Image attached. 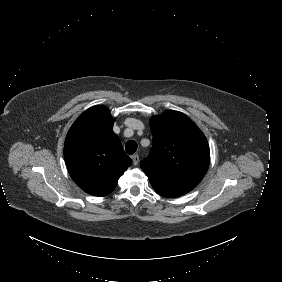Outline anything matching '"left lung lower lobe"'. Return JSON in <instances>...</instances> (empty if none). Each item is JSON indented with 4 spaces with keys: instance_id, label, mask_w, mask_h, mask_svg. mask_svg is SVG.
Wrapping results in <instances>:
<instances>
[{
    "instance_id": "obj_1",
    "label": "left lung lower lobe",
    "mask_w": 282,
    "mask_h": 282,
    "mask_svg": "<svg viewBox=\"0 0 282 282\" xmlns=\"http://www.w3.org/2000/svg\"><path fill=\"white\" fill-rule=\"evenodd\" d=\"M152 187L161 196L169 197V198L179 197V196L184 195L187 192H189V191H185V190H182V189H179V188H168V187L158 188V187H154L153 185H152Z\"/></svg>"
}]
</instances>
